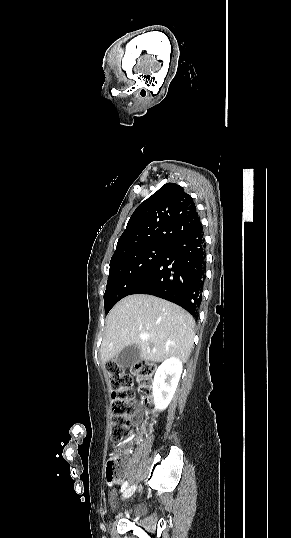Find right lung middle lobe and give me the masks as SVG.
Returning <instances> with one entry per match:
<instances>
[{
	"label": "right lung middle lobe",
	"mask_w": 291,
	"mask_h": 538,
	"mask_svg": "<svg viewBox=\"0 0 291 538\" xmlns=\"http://www.w3.org/2000/svg\"><path fill=\"white\" fill-rule=\"evenodd\" d=\"M169 247L145 246L111 258L109 278L104 294L106 314L119 300L130 295L160 261Z\"/></svg>",
	"instance_id": "obj_1"
}]
</instances>
